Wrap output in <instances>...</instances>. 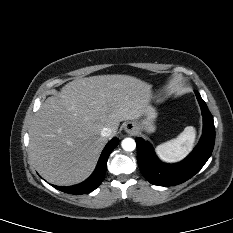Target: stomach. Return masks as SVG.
<instances>
[{"label":"stomach","instance_id":"0dacf381","mask_svg":"<svg viewBox=\"0 0 233 233\" xmlns=\"http://www.w3.org/2000/svg\"><path fill=\"white\" fill-rule=\"evenodd\" d=\"M144 119L141 121H134L133 123L135 124L136 128L140 130H144L148 133H152L155 131V125L154 121L157 117V112L155 108L152 106H149L144 114Z\"/></svg>","mask_w":233,"mask_h":233}]
</instances>
